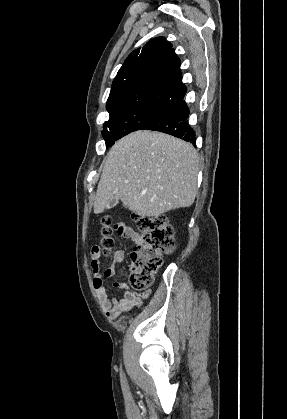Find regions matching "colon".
Masks as SVG:
<instances>
[{"label":"colon","mask_w":287,"mask_h":419,"mask_svg":"<svg viewBox=\"0 0 287 419\" xmlns=\"http://www.w3.org/2000/svg\"><path fill=\"white\" fill-rule=\"evenodd\" d=\"M140 232V239L130 253L131 286L136 291L146 290L152 283L154 273L161 267L163 255L173 251L174 231L165 216H134ZM111 220L105 218L97 234V241L103 253L113 245Z\"/></svg>","instance_id":"5ec220e1"}]
</instances>
